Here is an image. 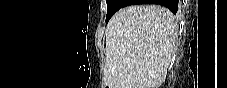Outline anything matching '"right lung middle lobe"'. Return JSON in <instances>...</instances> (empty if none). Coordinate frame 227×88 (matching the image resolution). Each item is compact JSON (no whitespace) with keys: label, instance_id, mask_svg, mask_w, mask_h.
Returning <instances> with one entry per match:
<instances>
[{"label":"right lung middle lobe","instance_id":"right-lung-middle-lobe-1","mask_svg":"<svg viewBox=\"0 0 227 88\" xmlns=\"http://www.w3.org/2000/svg\"><path fill=\"white\" fill-rule=\"evenodd\" d=\"M129 0H107L106 23L120 8L125 7Z\"/></svg>","mask_w":227,"mask_h":88}]
</instances>
